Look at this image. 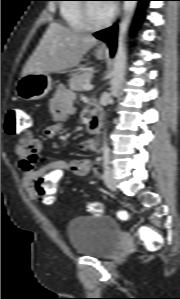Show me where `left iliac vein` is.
<instances>
[{
	"label": "left iliac vein",
	"instance_id": "left-iliac-vein-1",
	"mask_svg": "<svg viewBox=\"0 0 180 299\" xmlns=\"http://www.w3.org/2000/svg\"><path fill=\"white\" fill-rule=\"evenodd\" d=\"M103 180L109 189L116 190V180L114 178L113 169L110 166L106 167L103 174Z\"/></svg>",
	"mask_w": 180,
	"mask_h": 299
}]
</instances>
